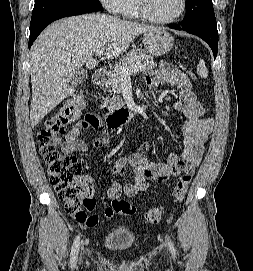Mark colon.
Instances as JSON below:
<instances>
[{
  "instance_id": "5ec220e1",
  "label": "colon",
  "mask_w": 253,
  "mask_h": 271,
  "mask_svg": "<svg viewBox=\"0 0 253 271\" xmlns=\"http://www.w3.org/2000/svg\"><path fill=\"white\" fill-rule=\"evenodd\" d=\"M183 70L189 73L187 67ZM84 104V94L77 93L46 121L44 128L37 134V144L46 165L51 185L56 190L60 200L64 203L65 210L79 224L90 227L95 222L91 211L95 207L93 190L89 183L81 179V164L77 157L61 151L59 145L66 128L80 113ZM86 119L97 121L98 118L88 115ZM192 180L191 174L179 177L175 188L174 198L182 201L186 195L188 185ZM111 208L114 214L132 215L135 206L125 199H113ZM163 215L161 207H153L145 213L148 223H158Z\"/></svg>"
}]
</instances>
